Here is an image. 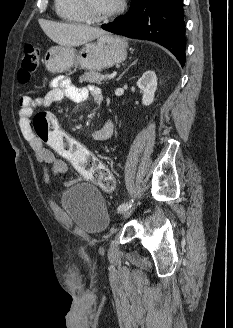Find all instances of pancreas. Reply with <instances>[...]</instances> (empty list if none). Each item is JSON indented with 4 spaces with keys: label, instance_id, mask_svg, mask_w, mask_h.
Here are the masks:
<instances>
[{
    "label": "pancreas",
    "instance_id": "pancreas-1",
    "mask_svg": "<svg viewBox=\"0 0 233 328\" xmlns=\"http://www.w3.org/2000/svg\"><path fill=\"white\" fill-rule=\"evenodd\" d=\"M108 74H100L96 71L89 70L86 71L83 75L79 77V82H89V83H96L98 85L102 84L104 80L108 79Z\"/></svg>",
    "mask_w": 233,
    "mask_h": 328
}]
</instances>
